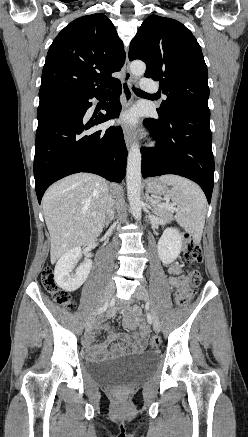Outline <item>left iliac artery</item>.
I'll return each instance as SVG.
<instances>
[{"mask_svg": "<svg viewBox=\"0 0 248 437\" xmlns=\"http://www.w3.org/2000/svg\"><path fill=\"white\" fill-rule=\"evenodd\" d=\"M148 322L151 324L152 323V318L150 315H148Z\"/></svg>", "mask_w": 248, "mask_h": 437, "instance_id": "left-iliac-artery-1", "label": "left iliac artery"}]
</instances>
